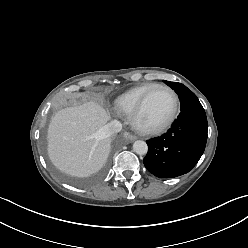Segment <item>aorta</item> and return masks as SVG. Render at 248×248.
<instances>
[{"instance_id":"aorta-1","label":"aorta","mask_w":248,"mask_h":248,"mask_svg":"<svg viewBox=\"0 0 248 248\" xmlns=\"http://www.w3.org/2000/svg\"><path fill=\"white\" fill-rule=\"evenodd\" d=\"M133 151L139 155H145L148 151V146L145 141L137 140L133 143Z\"/></svg>"}]
</instances>
